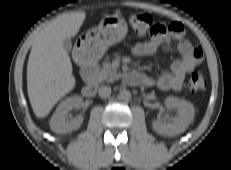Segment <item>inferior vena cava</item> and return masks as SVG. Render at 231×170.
I'll return each instance as SVG.
<instances>
[{"label":"inferior vena cava","mask_w":231,"mask_h":170,"mask_svg":"<svg viewBox=\"0 0 231 170\" xmlns=\"http://www.w3.org/2000/svg\"><path fill=\"white\" fill-rule=\"evenodd\" d=\"M98 94L101 98H108L111 95V87L101 86L98 90Z\"/></svg>","instance_id":"602c4592"}]
</instances>
